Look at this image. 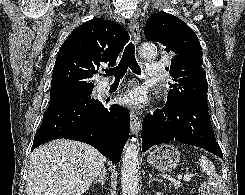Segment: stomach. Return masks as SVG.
I'll use <instances>...</instances> for the list:
<instances>
[{
  "mask_svg": "<svg viewBox=\"0 0 245 195\" xmlns=\"http://www.w3.org/2000/svg\"><path fill=\"white\" fill-rule=\"evenodd\" d=\"M147 162L158 171H171L180 162V153L173 145L163 144L148 155Z\"/></svg>",
  "mask_w": 245,
  "mask_h": 195,
  "instance_id": "0dacf381",
  "label": "stomach"
}]
</instances>
